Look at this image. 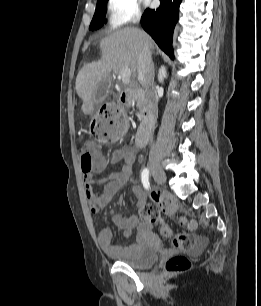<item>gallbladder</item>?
Returning <instances> with one entry per match:
<instances>
[{"label": "gallbladder", "instance_id": "obj_1", "mask_svg": "<svg viewBox=\"0 0 261 306\" xmlns=\"http://www.w3.org/2000/svg\"><path fill=\"white\" fill-rule=\"evenodd\" d=\"M108 90H109V82L107 80L100 82L93 96L95 105L101 104L106 99L108 95Z\"/></svg>", "mask_w": 261, "mask_h": 306}]
</instances>
